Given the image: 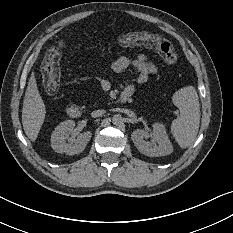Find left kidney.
<instances>
[{"mask_svg":"<svg viewBox=\"0 0 233 233\" xmlns=\"http://www.w3.org/2000/svg\"><path fill=\"white\" fill-rule=\"evenodd\" d=\"M153 131H143V130H135L131 135L133 144L138 148V150L147 156H165L173 151V145L170 142L168 137L166 126L160 122L152 123ZM152 141L159 143L157 146H153L151 142H146L150 135Z\"/></svg>","mask_w":233,"mask_h":233,"instance_id":"1","label":"left kidney"}]
</instances>
